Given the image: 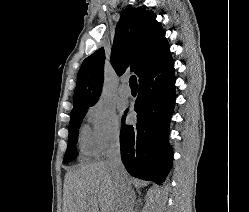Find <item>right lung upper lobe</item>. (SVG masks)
Here are the masks:
<instances>
[{
    "label": "right lung upper lobe",
    "mask_w": 249,
    "mask_h": 212,
    "mask_svg": "<svg viewBox=\"0 0 249 212\" xmlns=\"http://www.w3.org/2000/svg\"><path fill=\"white\" fill-rule=\"evenodd\" d=\"M170 55L165 31L153 11L128 7L116 26L111 63L118 75L131 70L139 79ZM105 54L101 48L87 57L78 72L74 109L93 106L103 85Z\"/></svg>",
    "instance_id": "1"
}]
</instances>
